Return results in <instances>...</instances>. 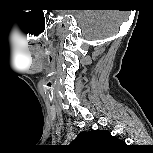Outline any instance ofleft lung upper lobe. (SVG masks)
<instances>
[{
	"instance_id": "1",
	"label": "left lung upper lobe",
	"mask_w": 153,
	"mask_h": 153,
	"mask_svg": "<svg viewBox=\"0 0 153 153\" xmlns=\"http://www.w3.org/2000/svg\"><path fill=\"white\" fill-rule=\"evenodd\" d=\"M72 145L88 150H109L122 146L124 143L108 131L92 130L81 132Z\"/></svg>"
}]
</instances>
